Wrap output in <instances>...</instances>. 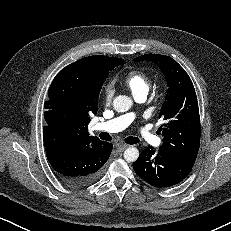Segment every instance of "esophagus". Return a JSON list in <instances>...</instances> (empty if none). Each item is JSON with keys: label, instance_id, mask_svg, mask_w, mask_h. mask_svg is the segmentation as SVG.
Segmentation results:
<instances>
[{"label": "esophagus", "instance_id": "34e87169", "mask_svg": "<svg viewBox=\"0 0 231 231\" xmlns=\"http://www.w3.org/2000/svg\"><path fill=\"white\" fill-rule=\"evenodd\" d=\"M127 147H128L127 145L122 144V143H118V144L116 145V149H117V151H119V152H123Z\"/></svg>", "mask_w": 231, "mask_h": 231}]
</instances>
